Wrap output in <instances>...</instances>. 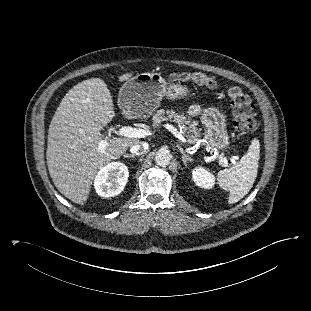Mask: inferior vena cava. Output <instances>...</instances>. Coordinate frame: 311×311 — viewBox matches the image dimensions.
<instances>
[{"label":"inferior vena cava","mask_w":311,"mask_h":311,"mask_svg":"<svg viewBox=\"0 0 311 311\" xmlns=\"http://www.w3.org/2000/svg\"><path fill=\"white\" fill-rule=\"evenodd\" d=\"M130 152L133 155H141L145 152V148L140 144H134L130 147Z\"/></svg>","instance_id":"1"}]
</instances>
